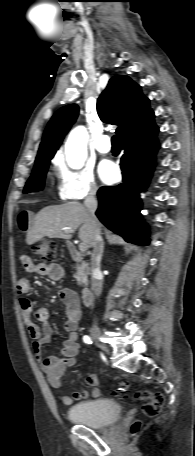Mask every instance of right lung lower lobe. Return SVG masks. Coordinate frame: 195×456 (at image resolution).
I'll list each match as a JSON object with an SVG mask.
<instances>
[{"label":"right lung lower lobe","instance_id":"right-lung-lower-lobe-1","mask_svg":"<svg viewBox=\"0 0 195 456\" xmlns=\"http://www.w3.org/2000/svg\"><path fill=\"white\" fill-rule=\"evenodd\" d=\"M158 127L153 123L122 140L121 169L123 183L104 186L98 191L100 221L125 240L140 245L148 244V231L141 221L140 192L150 180L155 154Z\"/></svg>","mask_w":195,"mask_h":456}]
</instances>
